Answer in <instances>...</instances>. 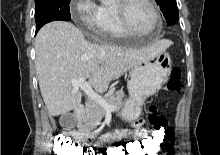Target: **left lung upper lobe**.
I'll return each mask as SVG.
<instances>
[{
    "label": "left lung upper lobe",
    "instance_id": "left-lung-upper-lobe-1",
    "mask_svg": "<svg viewBox=\"0 0 220 155\" xmlns=\"http://www.w3.org/2000/svg\"><path fill=\"white\" fill-rule=\"evenodd\" d=\"M169 25L176 23L179 19L176 0H156Z\"/></svg>",
    "mask_w": 220,
    "mask_h": 155
}]
</instances>
